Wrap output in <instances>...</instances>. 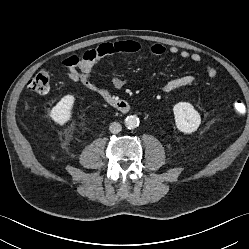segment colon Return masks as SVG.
Returning a JSON list of instances; mask_svg holds the SVG:
<instances>
[{"mask_svg":"<svg viewBox=\"0 0 249 249\" xmlns=\"http://www.w3.org/2000/svg\"><path fill=\"white\" fill-rule=\"evenodd\" d=\"M51 74L47 70L39 71L29 82V89L37 94H45L50 88ZM233 110L237 114H242L245 111V105L241 100L233 102Z\"/></svg>","mask_w":249,"mask_h":249,"instance_id":"5ec220e1","label":"colon"}]
</instances>
